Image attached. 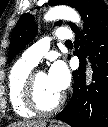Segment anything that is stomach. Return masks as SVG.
Instances as JSON below:
<instances>
[{"instance_id":"stomach-1","label":"stomach","mask_w":108,"mask_h":127,"mask_svg":"<svg viewBox=\"0 0 108 127\" xmlns=\"http://www.w3.org/2000/svg\"><path fill=\"white\" fill-rule=\"evenodd\" d=\"M48 127H68L67 125L64 124H54V123H50L48 125Z\"/></svg>"}]
</instances>
